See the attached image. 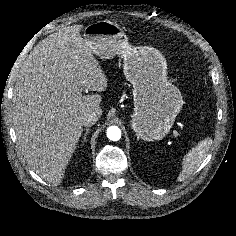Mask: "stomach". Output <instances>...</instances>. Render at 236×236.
Masks as SVG:
<instances>
[{
    "label": "stomach",
    "mask_w": 236,
    "mask_h": 236,
    "mask_svg": "<svg viewBox=\"0 0 236 236\" xmlns=\"http://www.w3.org/2000/svg\"><path fill=\"white\" fill-rule=\"evenodd\" d=\"M84 40L101 59L123 58V72L133 85L134 113L131 128L144 141L161 140L181 111L180 90L167 77L164 56L149 46H132L122 28L111 21H98L84 29Z\"/></svg>",
    "instance_id": "1"
}]
</instances>
